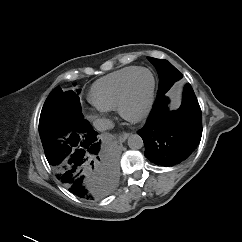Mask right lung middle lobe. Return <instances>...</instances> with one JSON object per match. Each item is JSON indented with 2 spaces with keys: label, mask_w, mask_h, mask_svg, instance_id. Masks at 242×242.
Returning <instances> with one entry per match:
<instances>
[{
  "label": "right lung middle lobe",
  "mask_w": 242,
  "mask_h": 242,
  "mask_svg": "<svg viewBox=\"0 0 242 242\" xmlns=\"http://www.w3.org/2000/svg\"><path fill=\"white\" fill-rule=\"evenodd\" d=\"M79 93L80 90L63 92L58 86L46 99L39 120V134L43 148L54 138L90 125L81 113Z\"/></svg>",
  "instance_id": "obj_1"
}]
</instances>
